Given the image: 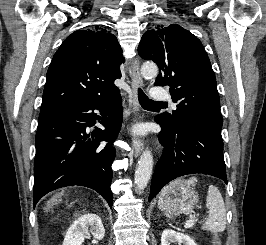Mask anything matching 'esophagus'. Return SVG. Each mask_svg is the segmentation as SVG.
I'll list each match as a JSON object with an SVG mask.
<instances>
[{
    "label": "esophagus",
    "instance_id": "1",
    "mask_svg": "<svg viewBox=\"0 0 266 245\" xmlns=\"http://www.w3.org/2000/svg\"><path fill=\"white\" fill-rule=\"evenodd\" d=\"M131 86H132V98L134 104L135 119L138 117L140 107L138 103V88L143 85L142 77L139 71V59L136 57L130 68ZM134 150V156L138 157L143 150L144 141L142 139H134L132 142Z\"/></svg>",
    "mask_w": 266,
    "mask_h": 245
}]
</instances>
